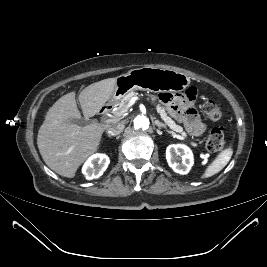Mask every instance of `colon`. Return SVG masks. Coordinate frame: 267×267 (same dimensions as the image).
<instances>
[{
  "label": "colon",
  "mask_w": 267,
  "mask_h": 267,
  "mask_svg": "<svg viewBox=\"0 0 267 267\" xmlns=\"http://www.w3.org/2000/svg\"><path fill=\"white\" fill-rule=\"evenodd\" d=\"M205 116L211 121H218L222 117V105L216 101L208 100L202 106ZM226 142L223 130L219 127L213 128L206 140V147L211 152H218L225 148Z\"/></svg>",
  "instance_id": "colon-1"
}]
</instances>
